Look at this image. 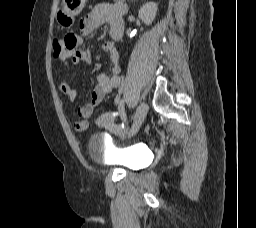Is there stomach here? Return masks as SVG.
Instances as JSON below:
<instances>
[{"mask_svg": "<svg viewBox=\"0 0 256 228\" xmlns=\"http://www.w3.org/2000/svg\"><path fill=\"white\" fill-rule=\"evenodd\" d=\"M87 0H63L62 8L57 12L56 21L61 28L73 26L75 16L84 8Z\"/></svg>", "mask_w": 256, "mask_h": 228, "instance_id": "0dacf381", "label": "stomach"}]
</instances>
